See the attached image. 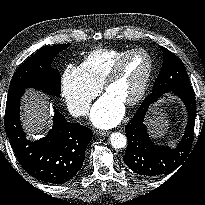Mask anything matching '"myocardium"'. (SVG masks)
<instances>
[{
	"instance_id": "1",
	"label": "myocardium",
	"mask_w": 205,
	"mask_h": 205,
	"mask_svg": "<svg viewBox=\"0 0 205 205\" xmlns=\"http://www.w3.org/2000/svg\"><path fill=\"white\" fill-rule=\"evenodd\" d=\"M137 53H143L147 56L148 60H149V65H148V69L147 72L144 76V79L141 83V86L139 88V90L136 92V94L128 101H126L124 103L125 106L130 107V106H134L136 104H138L142 98L145 96L151 79H152V75H153V71H154V59L152 57V55L145 49L143 48H135V49H131L128 52H126L112 67V69L110 70V72L107 74V76L105 77V79L103 80L102 84H101V89L103 92H107L109 86L116 81L119 76L121 75L122 69L124 67V64L126 63V61L133 55L137 54Z\"/></svg>"
}]
</instances>
